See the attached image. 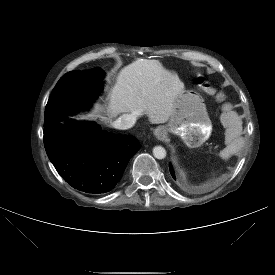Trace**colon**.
<instances>
[{
  "label": "colon",
  "instance_id": "1",
  "mask_svg": "<svg viewBox=\"0 0 275 275\" xmlns=\"http://www.w3.org/2000/svg\"><path fill=\"white\" fill-rule=\"evenodd\" d=\"M198 82L205 88L206 91L214 94H219L217 88L212 83H210L205 77L200 76L198 78Z\"/></svg>",
  "mask_w": 275,
  "mask_h": 275
}]
</instances>
